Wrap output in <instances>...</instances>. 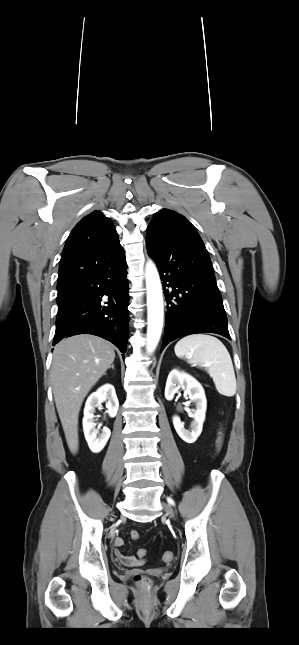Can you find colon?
<instances>
[{
  "mask_svg": "<svg viewBox=\"0 0 299 645\" xmlns=\"http://www.w3.org/2000/svg\"><path fill=\"white\" fill-rule=\"evenodd\" d=\"M223 443H224V432H223V430H221L219 432V435H218L217 440H216V452L217 453H219L221 451V449L223 447ZM139 536L140 535H139V533L137 531H132L131 532V538L133 540H137L139 538ZM146 554H147V552H146L145 549H139L138 552H137L138 557L141 558V559L145 558ZM162 559L165 562H170L173 559V553L171 551L164 552L163 555H162ZM135 580L137 581V583L142 584V585L147 582V578L144 577V576H141V575L136 576Z\"/></svg>",
  "mask_w": 299,
  "mask_h": 645,
  "instance_id": "1",
  "label": "colon"
}]
</instances>
